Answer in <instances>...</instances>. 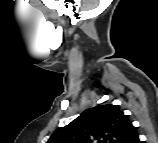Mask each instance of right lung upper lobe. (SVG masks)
Listing matches in <instances>:
<instances>
[{"instance_id": "cb5924a9", "label": "right lung upper lobe", "mask_w": 158, "mask_h": 143, "mask_svg": "<svg viewBox=\"0 0 158 143\" xmlns=\"http://www.w3.org/2000/svg\"><path fill=\"white\" fill-rule=\"evenodd\" d=\"M137 143L136 127L116 105L105 104L85 110L64 127L58 128L47 143Z\"/></svg>"}]
</instances>
